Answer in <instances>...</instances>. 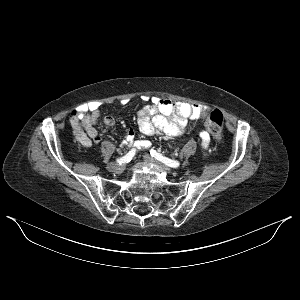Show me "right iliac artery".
Returning a JSON list of instances; mask_svg holds the SVG:
<instances>
[{"label": "right iliac artery", "mask_w": 300, "mask_h": 300, "mask_svg": "<svg viewBox=\"0 0 300 300\" xmlns=\"http://www.w3.org/2000/svg\"><path fill=\"white\" fill-rule=\"evenodd\" d=\"M135 152H136V150L132 149L125 156L121 157L120 159H117V162L119 164L130 162L132 160V158L134 157Z\"/></svg>", "instance_id": "right-iliac-artery-1"}]
</instances>
